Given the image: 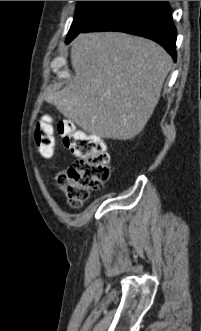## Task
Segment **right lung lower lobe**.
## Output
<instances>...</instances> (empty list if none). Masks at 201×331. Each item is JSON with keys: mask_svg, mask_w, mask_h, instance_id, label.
Here are the masks:
<instances>
[{"mask_svg": "<svg viewBox=\"0 0 201 331\" xmlns=\"http://www.w3.org/2000/svg\"><path fill=\"white\" fill-rule=\"evenodd\" d=\"M93 31H119L146 37L163 46L176 61L177 31L168 1H115L81 32Z\"/></svg>", "mask_w": 201, "mask_h": 331, "instance_id": "98d812e1", "label": "right lung lower lobe"}]
</instances>
